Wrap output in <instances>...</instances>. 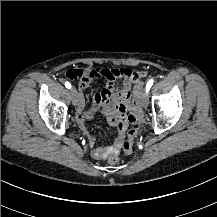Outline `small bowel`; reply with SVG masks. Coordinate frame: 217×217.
<instances>
[{
    "label": "small bowel",
    "mask_w": 217,
    "mask_h": 217,
    "mask_svg": "<svg viewBox=\"0 0 217 217\" xmlns=\"http://www.w3.org/2000/svg\"><path fill=\"white\" fill-rule=\"evenodd\" d=\"M144 73L136 75L131 69H124L122 74L114 75L106 69H94L82 73L80 78V105L75 115V123L87 135L90 154L94 159H106L110 154H118L123 147L125 131L130 117H142V90ZM117 78L122 79L120 86L116 85ZM104 80L105 87L95 94L93 107L83 111L84 90L92 81ZM135 87L133 89V85ZM97 113H103L108 122L116 129L115 142L109 146H97L95 138L87 132L86 121L91 120Z\"/></svg>",
    "instance_id": "1"
}]
</instances>
